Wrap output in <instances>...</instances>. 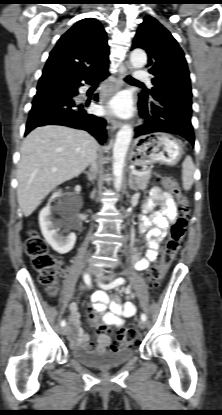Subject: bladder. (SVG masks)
<instances>
[{
	"mask_svg": "<svg viewBox=\"0 0 222 415\" xmlns=\"http://www.w3.org/2000/svg\"><path fill=\"white\" fill-rule=\"evenodd\" d=\"M71 357L78 363L92 368L117 367L127 363L134 357L132 348L123 347L105 351H87L72 349Z\"/></svg>",
	"mask_w": 222,
	"mask_h": 415,
	"instance_id": "31cf9c89",
	"label": "bladder"
}]
</instances>
